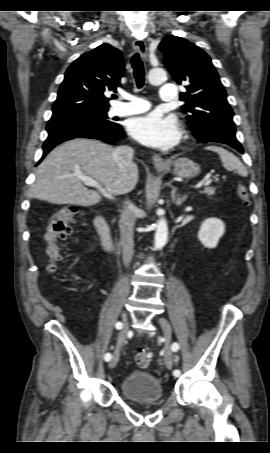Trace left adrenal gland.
I'll use <instances>...</instances> for the list:
<instances>
[{"mask_svg":"<svg viewBox=\"0 0 270 453\" xmlns=\"http://www.w3.org/2000/svg\"><path fill=\"white\" fill-rule=\"evenodd\" d=\"M171 196L172 202H174L177 206H180L187 199L186 195L182 197L180 195H177V188L174 186H172Z\"/></svg>","mask_w":270,"mask_h":453,"instance_id":"obj_1","label":"left adrenal gland"}]
</instances>
